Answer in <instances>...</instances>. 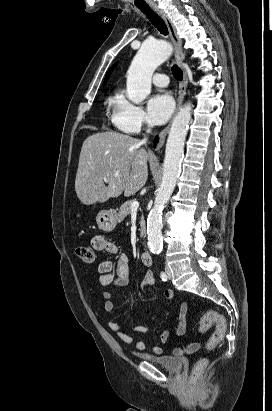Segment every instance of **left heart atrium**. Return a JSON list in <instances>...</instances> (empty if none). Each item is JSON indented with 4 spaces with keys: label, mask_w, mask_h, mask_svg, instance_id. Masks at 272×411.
Instances as JSON below:
<instances>
[{
    "label": "left heart atrium",
    "mask_w": 272,
    "mask_h": 411,
    "mask_svg": "<svg viewBox=\"0 0 272 411\" xmlns=\"http://www.w3.org/2000/svg\"><path fill=\"white\" fill-rule=\"evenodd\" d=\"M174 109L173 99L168 94H156L148 101V112L155 124L165 123Z\"/></svg>",
    "instance_id": "left-heart-atrium-1"
}]
</instances>
